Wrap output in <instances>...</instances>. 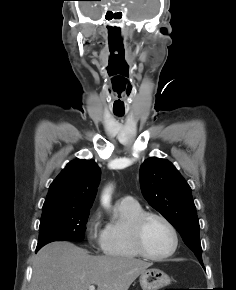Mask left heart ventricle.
<instances>
[{
    "label": "left heart ventricle",
    "instance_id": "b2bd125f",
    "mask_svg": "<svg viewBox=\"0 0 236 290\" xmlns=\"http://www.w3.org/2000/svg\"><path fill=\"white\" fill-rule=\"evenodd\" d=\"M144 244L146 249L154 255H162L169 252L173 245L170 230L160 220L150 218L144 226Z\"/></svg>",
    "mask_w": 236,
    "mask_h": 290
}]
</instances>
